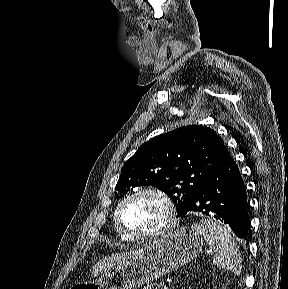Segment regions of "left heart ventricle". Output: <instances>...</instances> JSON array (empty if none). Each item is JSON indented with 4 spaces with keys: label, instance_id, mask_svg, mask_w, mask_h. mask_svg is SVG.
<instances>
[{
    "label": "left heart ventricle",
    "instance_id": "b2bd125f",
    "mask_svg": "<svg viewBox=\"0 0 288 289\" xmlns=\"http://www.w3.org/2000/svg\"><path fill=\"white\" fill-rule=\"evenodd\" d=\"M166 207L153 195H142L134 199L123 213V221L127 228L138 233L152 232L166 222Z\"/></svg>",
    "mask_w": 288,
    "mask_h": 289
}]
</instances>
